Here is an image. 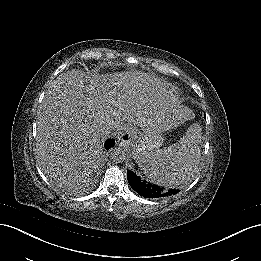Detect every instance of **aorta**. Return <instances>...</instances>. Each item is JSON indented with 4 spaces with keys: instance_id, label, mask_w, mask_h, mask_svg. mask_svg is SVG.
Segmentation results:
<instances>
[{
    "instance_id": "1",
    "label": "aorta",
    "mask_w": 261,
    "mask_h": 261,
    "mask_svg": "<svg viewBox=\"0 0 261 261\" xmlns=\"http://www.w3.org/2000/svg\"><path fill=\"white\" fill-rule=\"evenodd\" d=\"M112 159L116 163H122L127 160L128 154L124 150V145L118 143L111 152Z\"/></svg>"
}]
</instances>
